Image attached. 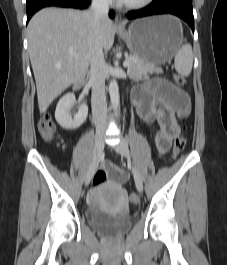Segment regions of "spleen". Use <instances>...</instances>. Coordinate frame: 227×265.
Returning <instances> with one entry per match:
<instances>
[{"label":"spleen","instance_id":"obj_1","mask_svg":"<svg viewBox=\"0 0 227 265\" xmlns=\"http://www.w3.org/2000/svg\"><path fill=\"white\" fill-rule=\"evenodd\" d=\"M176 71L182 76H189L193 65V52L189 44H184L177 51L174 59Z\"/></svg>","mask_w":227,"mask_h":265}]
</instances>
